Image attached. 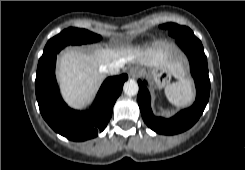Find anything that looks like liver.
<instances>
[{"label": "liver", "mask_w": 245, "mask_h": 170, "mask_svg": "<svg viewBox=\"0 0 245 170\" xmlns=\"http://www.w3.org/2000/svg\"><path fill=\"white\" fill-rule=\"evenodd\" d=\"M117 63L124 68L127 63L147 67H171L176 76L183 77L182 61L168 46H154L141 50L128 47L97 48L93 51L67 49L59 59L57 78L64 100L74 108L89 104L103 81L102 67Z\"/></svg>", "instance_id": "6515ba94"}]
</instances>
